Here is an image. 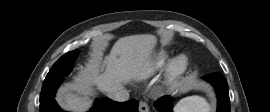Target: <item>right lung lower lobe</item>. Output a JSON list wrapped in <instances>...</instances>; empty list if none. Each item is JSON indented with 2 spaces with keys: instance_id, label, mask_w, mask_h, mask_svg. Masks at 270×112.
<instances>
[{
  "instance_id": "1",
  "label": "right lung lower lobe",
  "mask_w": 270,
  "mask_h": 112,
  "mask_svg": "<svg viewBox=\"0 0 270 112\" xmlns=\"http://www.w3.org/2000/svg\"><path fill=\"white\" fill-rule=\"evenodd\" d=\"M59 85L60 83L53 85L43 83L40 95V112H64L54 99ZM138 105L139 102L134 99L121 103L106 98L96 101L89 112H138Z\"/></svg>"
}]
</instances>
